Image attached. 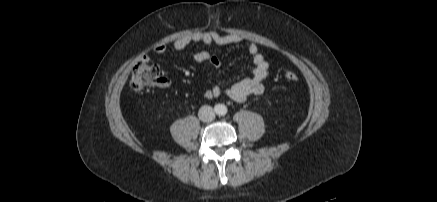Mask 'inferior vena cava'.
<instances>
[{
	"label": "inferior vena cava",
	"instance_id": "602c4592",
	"mask_svg": "<svg viewBox=\"0 0 437 202\" xmlns=\"http://www.w3.org/2000/svg\"><path fill=\"white\" fill-rule=\"evenodd\" d=\"M199 119L203 122H211L215 118V112L211 106H202L198 112Z\"/></svg>",
	"mask_w": 437,
	"mask_h": 202
}]
</instances>
